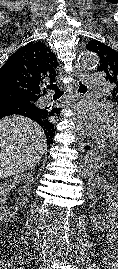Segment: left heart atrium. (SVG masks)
<instances>
[{
  "mask_svg": "<svg viewBox=\"0 0 118 269\" xmlns=\"http://www.w3.org/2000/svg\"><path fill=\"white\" fill-rule=\"evenodd\" d=\"M72 120L83 134L101 137L110 133L113 113L105 104L82 102L75 107Z\"/></svg>",
  "mask_w": 118,
  "mask_h": 269,
  "instance_id": "left-heart-atrium-1",
  "label": "left heart atrium"
}]
</instances>
